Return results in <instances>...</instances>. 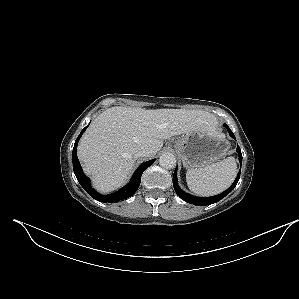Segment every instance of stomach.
Instances as JSON below:
<instances>
[{"mask_svg":"<svg viewBox=\"0 0 299 299\" xmlns=\"http://www.w3.org/2000/svg\"><path fill=\"white\" fill-rule=\"evenodd\" d=\"M230 148L229 141L216 128L198 129L183 135L174 149L188 169H200L220 160Z\"/></svg>","mask_w":299,"mask_h":299,"instance_id":"stomach-1","label":"stomach"}]
</instances>
